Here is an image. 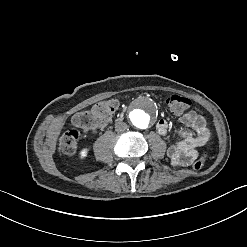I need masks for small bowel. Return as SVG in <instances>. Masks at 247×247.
I'll list each match as a JSON object with an SVG mask.
<instances>
[{
    "label": "small bowel",
    "mask_w": 247,
    "mask_h": 247,
    "mask_svg": "<svg viewBox=\"0 0 247 247\" xmlns=\"http://www.w3.org/2000/svg\"><path fill=\"white\" fill-rule=\"evenodd\" d=\"M180 121L189 129H177L180 140L169 145L167 154L173 165L185 167L194 162L198 156L197 149L204 146L210 136L207 135L209 130L206 127V120L201 114L188 111L180 116ZM156 130L160 135L166 136L169 131L168 122L163 119L159 120L156 124Z\"/></svg>",
    "instance_id": "obj_1"
}]
</instances>
